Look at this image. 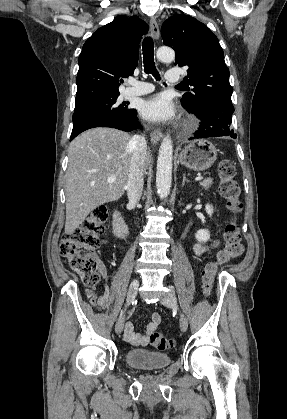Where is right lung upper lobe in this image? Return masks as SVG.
<instances>
[{
	"mask_svg": "<svg viewBox=\"0 0 287 419\" xmlns=\"http://www.w3.org/2000/svg\"><path fill=\"white\" fill-rule=\"evenodd\" d=\"M147 31V24L138 17L120 15L85 42L78 58L75 107L120 94V78L133 74L139 41Z\"/></svg>",
	"mask_w": 287,
	"mask_h": 419,
	"instance_id": "1",
	"label": "right lung upper lobe"
}]
</instances>
